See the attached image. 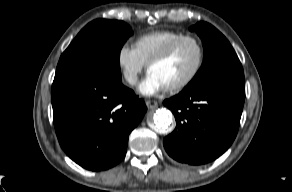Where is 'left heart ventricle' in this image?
<instances>
[{"label":"left heart ventricle","instance_id":"b2bd125f","mask_svg":"<svg viewBox=\"0 0 292 192\" xmlns=\"http://www.w3.org/2000/svg\"><path fill=\"white\" fill-rule=\"evenodd\" d=\"M197 61V47L192 42H185L170 58L153 65L149 72L156 75L166 87H169L188 77L194 70Z\"/></svg>","mask_w":292,"mask_h":192}]
</instances>
